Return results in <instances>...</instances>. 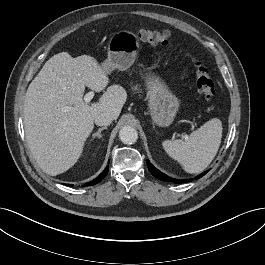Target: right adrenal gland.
<instances>
[{"label": "right adrenal gland", "mask_w": 265, "mask_h": 265, "mask_svg": "<svg viewBox=\"0 0 265 265\" xmlns=\"http://www.w3.org/2000/svg\"><path fill=\"white\" fill-rule=\"evenodd\" d=\"M105 129H107V126L99 128L98 131L92 135V138L95 139L96 137H98L100 139L102 137L101 132Z\"/></svg>", "instance_id": "right-adrenal-gland-1"}]
</instances>
